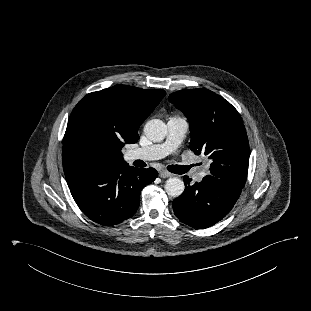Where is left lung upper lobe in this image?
Wrapping results in <instances>:
<instances>
[{
  "label": "left lung upper lobe",
  "instance_id": "5c2ea615",
  "mask_svg": "<svg viewBox=\"0 0 311 311\" xmlns=\"http://www.w3.org/2000/svg\"><path fill=\"white\" fill-rule=\"evenodd\" d=\"M169 101L190 124V149L212 160L210 175L243 189L249 165V143L238 111L207 89L174 92Z\"/></svg>",
  "mask_w": 311,
  "mask_h": 311
}]
</instances>
